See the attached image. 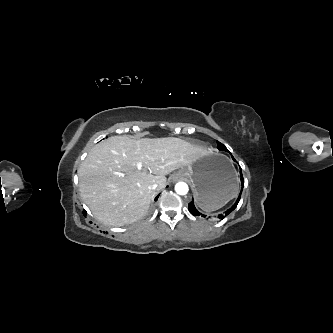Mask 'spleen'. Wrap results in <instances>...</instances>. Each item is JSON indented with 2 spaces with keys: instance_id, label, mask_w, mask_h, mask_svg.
I'll list each match as a JSON object with an SVG mask.
<instances>
[{
  "instance_id": "1",
  "label": "spleen",
  "mask_w": 333,
  "mask_h": 333,
  "mask_svg": "<svg viewBox=\"0 0 333 333\" xmlns=\"http://www.w3.org/2000/svg\"><path fill=\"white\" fill-rule=\"evenodd\" d=\"M237 193H238V186H237V189H236V191H235V194L233 195V197H232L231 199H233V198L237 195ZM231 199H230V200H231ZM226 203H227V202H226ZM226 203H224L223 205L218 206V207H216V208H213V209H207L206 211L217 210V209L223 207Z\"/></svg>"
}]
</instances>
